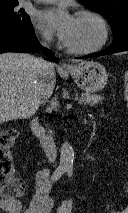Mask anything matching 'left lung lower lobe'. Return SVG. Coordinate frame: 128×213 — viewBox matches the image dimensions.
I'll return each mask as SVG.
<instances>
[{"label": "left lung lower lobe", "instance_id": "left-lung-lower-lobe-1", "mask_svg": "<svg viewBox=\"0 0 128 213\" xmlns=\"http://www.w3.org/2000/svg\"><path fill=\"white\" fill-rule=\"evenodd\" d=\"M122 51H128V33L123 34L118 39H114L113 43L106 49L100 52L91 54L88 57L103 56V55L118 53Z\"/></svg>", "mask_w": 128, "mask_h": 213}]
</instances>
